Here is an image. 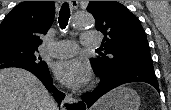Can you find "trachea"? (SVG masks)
Returning <instances> with one entry per match:
<instances>
[{
  "mask_svg": "<svg viewBox=\"0 0 171 110\" xmlns=\"http://www.w3.org/2000/svg\"><path fill=\"white\" fill-rule=\"evenodd\" d=\"M70 18V9H69V4L67 2L63 3L60 12H59V25L62 29H65L68 20Z\"/></svg>",
  "mask_w": 171,
  "mask_h": 110,
  "instance_id": "trachea-1",
  "label": "trachea"
}]
</instances>
